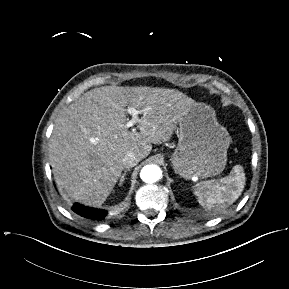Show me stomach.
<instances>
[{
	"mask_svg": "<svg viewBox=\"0 0 289 289\" xmlns=\"http://www.w3.org/2000/svg\"><path fill=\"white\" fill-rule=\"evenodd\" d=\"M178 123L179 141L171 156L174 171L183 178L220 174L226 165L231 137L217 122L213 108L195 103Z\"/></svg>",
	"mask_w": 289,
	"mask_h": 289,
	"instance_id": "1",
	"label": "stomach"
}]
</instances>
